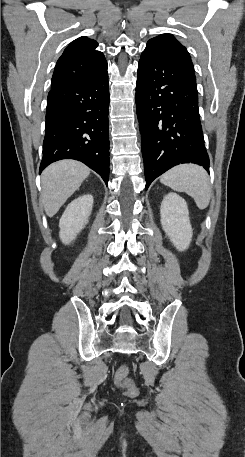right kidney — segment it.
Here are the masks:
<instances>
[{
	"label": "right kidney",
	"instance_id": "obj_1",
	"mask_svg": "<svg viewBox=\"0 0 245 457\" xmlns=\"http://www.w3.org/2000/svg\"><path fill=\"white\" fill-rule=\"evenodd\" d=\"M92 208V194H82L68 204L59 222V237L64 245H70L78 233L84 229V224H87Z\"/></svg>",
	"mask_w": 245,
	"mask_h": 457
}]
</instances>
